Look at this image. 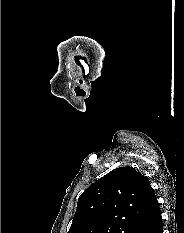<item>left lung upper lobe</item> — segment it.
I'll return each instance as SVG.
<instances>
[{
    "mask_svg": "<svg viewBox=\"0 0 184 233\" xmlns=\"http://www.w3.org/2000/svg\"><path fill=\"white\" fill-rule=\"evenodd\" d=\"M153 196L142 174L116 168L81 194L68 233H134Z\"/></svg>",
    "mask_w": 184,
    "mask_h": 233,
    "instance_id": "left-lung-upper-lobe-1",
    "label": "left lung upper lobe"
}]
</instances>
